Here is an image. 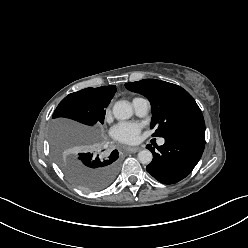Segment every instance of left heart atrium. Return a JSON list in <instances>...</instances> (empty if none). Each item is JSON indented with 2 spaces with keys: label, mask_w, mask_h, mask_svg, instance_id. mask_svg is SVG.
I'll use <instances>...</instances> for the list:
<instances>
[{
  "label": "left heart atrium",
  "mask_w": 248,
  "mask_h": 248,
  "mask_svg": "<svg viewBox=\"0 0 248 248\" xmlns=\"http://www.w3.org/2000/svg\"><path fill=\"white\" fill-rule=\"evenodd\" d=\"M141 125L136 122H120L112 128V136L115 140L132 144L138 140Z\"/></svg>",
  "instance_id": "39dd6f15"
}]
</instances>
